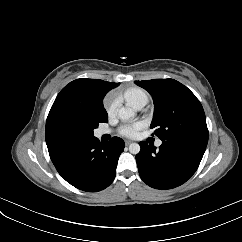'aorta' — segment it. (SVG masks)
<instances>
[{"mask_svg": "<svg viewBox=\"0 0 242 242\" xmlns=\"http://www.w3.org/2000/svg\"><path fill=\"white\" fill-rule=\"evenodd\" d=\"M135 115V110L131 107H122L118 110V116L121 120L127 121ZM129 152L138 154L140 152V145L138 143H131L129 145Z\"/></svg>", "mask_w": 242, "mask_h": 242, "instance_id": "1", "label": "aorta"}]
</instances>
